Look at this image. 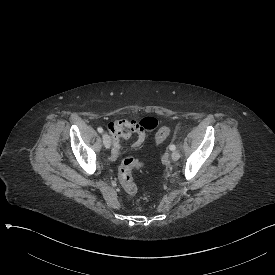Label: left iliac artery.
Listing matches in <instances>:
<instances>
[{
  "label": "left iliac artery",
  "mask_w": 275,
  "mask_h": 275,
  "mask_svg": "<svg viewBox=\"0 0 275 275\" xmlns=\"http://www.w3.org/2000/svg\"><path fill=\"white\" fill-rule=\"evenodd\" d=\"M169 147H170V150L172 151L176 150V146L174 144H171Z\"/></svg>",
  "instance_id": "44dca946"
}]
</instances>
